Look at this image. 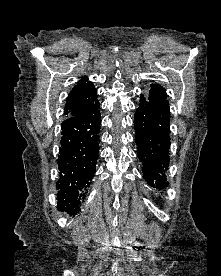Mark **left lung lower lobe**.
<instances>
[{"instance_id": "0a47b994", "label": "left lung lower lobe", "mask_w": 221, "mask_h": 276, "mask_svg": "<svg viewBox=\"0 0 221 276\" xmlns=\"http://www.w3.org/2000/svg\"><path fill=\"white\" fill-rule=\"evenodd\" d=\"M134 126L143 177L152 187L163 189L168 186L165 172L169 167L170 111L141 95Z\"/></svg>"}]
</instances>
